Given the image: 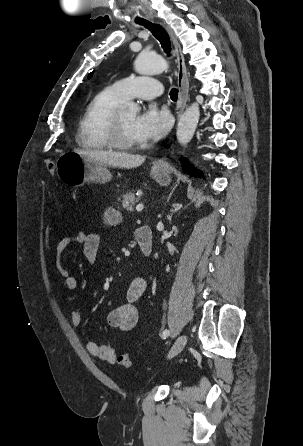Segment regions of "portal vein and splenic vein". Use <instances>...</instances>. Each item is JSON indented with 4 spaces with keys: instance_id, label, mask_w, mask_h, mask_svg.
Returning a JSON list of instances; mask_svg holds the SVG:
<instances>
[{
    "instance_id": "obj_1",
    "label": "portal vein and splenic vein",
    "mask_w": 303,
    "mask_h": 446,
    "mask_svg": "<svg viewBox=\"0 0 303 446\" xmlns=\"http://www.w3.org/2000/svg\"><path fill=\"white\" fill-rule=\"evenodd\" d=\"M143 208H144V205H143L142 203H139V204L136 206V210H137V212L142 211Z\"/></svg>"
}]
</instances>
